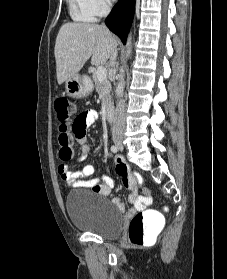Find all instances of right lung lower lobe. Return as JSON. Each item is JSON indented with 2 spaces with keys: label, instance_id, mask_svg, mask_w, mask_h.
Here are the masks:
<instances>
[{
  "label": "right lung lower lobe",
  "instance_id": "1",
  "mask_svg": "<svg viewBox=\"0 0 227 279\" xmlns=\"http://www.w3.org/2000/svg\"><path fill=\"white\" fill-rule=\"evenodd\" d=\"M134 4L135 0H119L105 21L108 28L118 35L124 44L133 19Z\"/></svg>",
  "mask_w": 227,
  "mask_h": 279
}]
</instances>
